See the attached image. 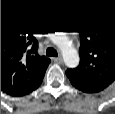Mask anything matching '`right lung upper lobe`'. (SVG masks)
Instances as JSON below:
<instances>
[{"label": "right lung upper lobe", "mask_w": 115, "mask_h": 114, "mask_svg": "<svg viewBox=\"0 0 115 114\" xmlns=\"http://www.w3.org/2000/svg\"><path fill=\"white\" fill-rule=\"evenodd\" d=\"M38 42L22 24L1 23V90L22 96L37 89L50 59L37 52Z\"/></svg>", "instance_id": "obj_1"}]
</instances>
